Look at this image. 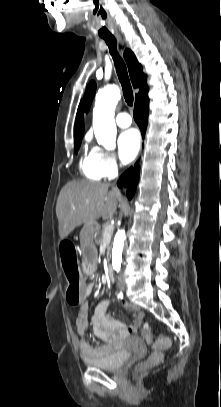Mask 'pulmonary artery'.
Returning a JSON list of instances; mask_svg holds the SVG:
<instances>
[{"label":"pulmonary artery","instance_id":"e3ab8cb5","mask_svg":"<svg viewBox=\"0 0 221 407\" xmlns=\"http://www.w3.org/2000/svg\"><path fill=\"white\" fill-rule=\"evenodd\" d=\"M116 124L121 128H126L132 124V119L127 112H121L116 116Z\"/></svg>","mask_w":221,"mask_h":407}]
</instances>
